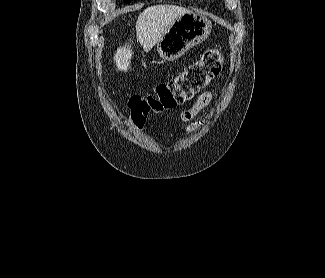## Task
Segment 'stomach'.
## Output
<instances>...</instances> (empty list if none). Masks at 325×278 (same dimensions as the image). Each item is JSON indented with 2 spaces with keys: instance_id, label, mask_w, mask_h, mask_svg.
Returning <instances> with one entry per match:
<instances>
[{
  "instance_id": "obj_1",
  "label": "stomach",
  "mask_w": 325,
  "mask_h": 278,
  "mask_svg": "<svg viewBox=\"0 0 325 278\" xmlns=\"http://www.w3.org/2000/svg\"><path fill=\"white\" fill-rule=\"evenodd\" d=\"M212 30L211 21L190 12L179 16L156 43V52L164 61H174L192 47L205 41Z\"/></svg>"
}]
</instances>
